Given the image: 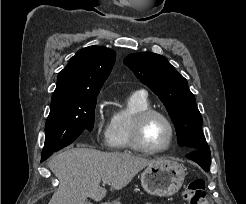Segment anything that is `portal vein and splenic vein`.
Segmentation results:
<instances>
[{
    "label": "portal vein and splenic vein",
    "mask_w": 246,
    "mask_h": 204,
    "mask_svg": "<svg viewBox=\"0 0 246 204\" xmlns=\"http://www.w3.org/2000/svg\"><path fill=\"white\" fill-rule=\"evenodd\" d=\"M102 181H103V184H110V179L106 178V179H103Z\"/></svg>",
    "instance_id": "obj_1"
}]
</instances>
